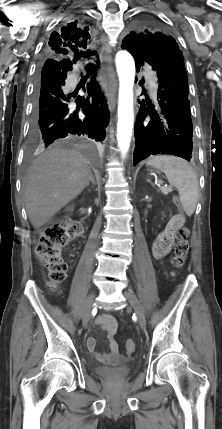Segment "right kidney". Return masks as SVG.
I'll return each instance as SVG.
<instances>
[{"label": "right kidney", "instance_id": "right-kidney-1", "mask_svg": "<svg viewBox=\"0 0 222 429\" xmlns=\"http://www.w3.org/2000/svg\"><path fill=\"white\" fill-rule=\"evenodd\" d=\"M73 208H74V206H70V207L68 208V210H69V211H73Z\"/></svg>", "mask_w": 222, "mask_h": 429}]
</instances>
